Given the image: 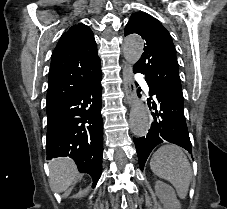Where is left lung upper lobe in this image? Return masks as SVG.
I'll list each match as a JSON object with an SVG mask.
<instances>
[{"label": "left lung upper lobe", "instance_id": "obj_1", "mask_svg": "<svg viewBox=\"0 0 227 209\" xmlns=\"http://www.w3.org/2000/svg\"><path fill=\"white\" fill-rule=\"evenodd\" d=\"M138 34L144 40V53L133 71L145 75L149 89L183 102L176 50L169 32L147 13L135 12L125 26L124 35Z\"/></svg>", "mask_w": 227, "mask_h": 209}]
</instances>
